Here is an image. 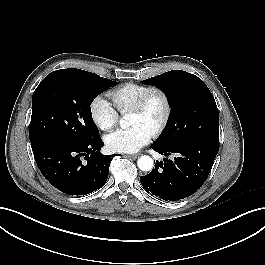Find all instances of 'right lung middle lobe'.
I'll return each instance as SVG.
<instances>
[{
    "mask_svg": "<svg viewBox=\"0 0 265 265\" xmlns=\"http://www.w3.org/2000/svg\"><path fill=\"white\" fill-rule=\"evenodd\" d=\"M116 84L80 69H61L47 75L32 96L31 146L99 137L90 105L98 94Z\"/></svg>",
    "mask_w": 265,
    "mask_h": 265,
    "instance_id": "1",
    "label": "right lung middle lobe"
}]
</instances>
